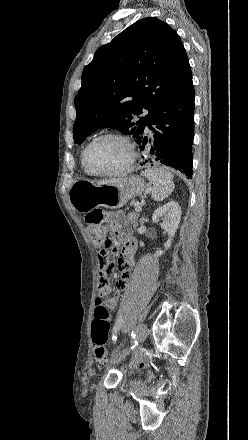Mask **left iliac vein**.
I'll use <instances>...</instances> for the list:
<instances>
[{
	"mask_svg": "<svg viewBox=\"0 0 248 440\" xmlns=\"http://www.w3.org/2000/svg\"><path fill=\"white\" fill-rule=\"evenodd\" d=\"M147 334H148L147 326L145 324H140L136 330V339H137L138 343L144 342L147 337ZM129 351L130 350H126L123 353H119L117 355H114L111 360V363L119 362L120 360L125 358V356L129 353Z\"/></svg>",
	"mask_w": 248,
	"mask_h": 440,
	"instance_id": "1",
	"label": "left iliac vein"
}]
</instances>
